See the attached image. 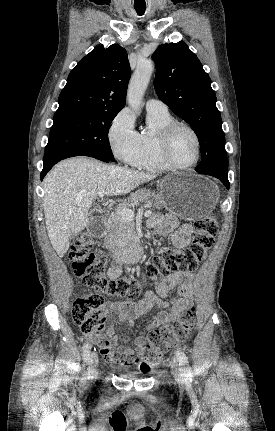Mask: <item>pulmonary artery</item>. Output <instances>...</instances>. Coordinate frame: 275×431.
<instances>
[{
  "label": "pulmonary artery",
  "mask_w": 275,
  "mask_h": 431,
  "mask_svg": "<svg viewBox=\"0 0 275 431\" xmlns=\"http://www.w3.org/2000/svg\"><path fill=\"white\" fill-rule=\"evenodd\" d=\"M148 112H167V105L159 99H149L146 103Z\"/></svg>",
  "instance_id": "e3ab8cb5"
}]
</instances>
